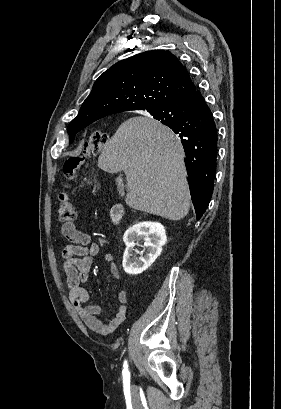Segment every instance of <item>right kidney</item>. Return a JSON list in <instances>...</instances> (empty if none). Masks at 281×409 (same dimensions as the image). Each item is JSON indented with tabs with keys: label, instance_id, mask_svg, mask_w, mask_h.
I'll return each mask as SVG.
<instances>
[{
	"label": "right kidney",
	"instance_id": "ca27d5eb",
	"mask_svg": "<svg viewBox=\"0 0 281 409\" xmlns=\"http://www.w3.org/2000/svg\"><path fill=\"white\" fill-rule=\"evenodd\" d=\"M123 241L126 245L123 255V269L128 275H140L159 257L167 237L161 223L143 221V223H136V225L129 227L123 235ZM139 243H143L147 249L144 257H134V247Z\"/></svg>",
	"mask_w": 281,
	"mask_h": 409
}]
</instances>
